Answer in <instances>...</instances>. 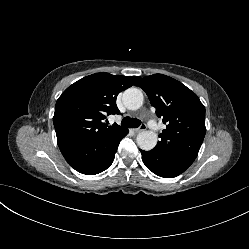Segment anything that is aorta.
<instances>
[{
  "mask_svg": "<svg viewBox=\"0 0 249 249\" xmlns=\"http://www.w3.org/2000/svg\"><path fill=\"white\" fill-rule=\"evenodd\" d=\"M144 101L141 90L137 88H129L123 93V103L129 110L139 109ZM157 134L153 131H143L137 136V144L140 149L149 151L157 144Z\"/></svg>",
  "mask_w": 249,
  "mask_h": 249,
  "instance_id": "1",
  "label": "aorta"
}]
</instances>
